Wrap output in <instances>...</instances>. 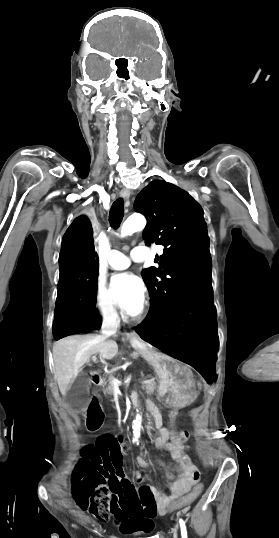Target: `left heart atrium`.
Instances as JSON below:
<instances>
[{"instance_id": "39dd6f15", "label": "left heart atrium", "mask_w": 279, "mask_h": 538, "mask_svg": "<svg viewBox=\"0 0 279 538\" xmlns=\"http://www.w3.org/2000/svg\"><path fill=\"white\" fill-rule=\"evenodd\" d=\"M111 289L127 313L136 312L144 303L146 293L144 283L131 272L114 275L111 280Z\"/></svg>"}]
</instances>
